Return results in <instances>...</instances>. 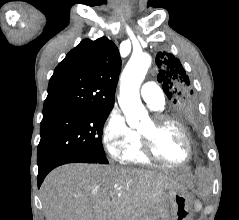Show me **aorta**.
Listing matches in <instances>:
<instances>
[{"instance_id": "aorta-1", "label": "aorta", "mask_w": 239, "mask_h": 220, "mask_svg": "<svg viewBox=\"0 0 239 220\" xmlns=\"http://www.w3.org/2000/svg\"><path fill=\"white\" fill-rule=\"evenodd\" d=\"M150 64L151 57L147 53L133 55L121 76L119 105L131 127L137 126L147 116L139 90Z\"/></svg>"}]
</instances>
